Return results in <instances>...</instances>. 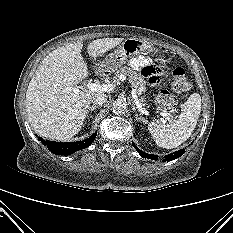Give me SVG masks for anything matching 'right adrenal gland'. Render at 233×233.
Instances as JSON below:
<instances>
[{
  "label": "right adrenal gland",
  "instance_id": "obj_1",
  "mask_svg": "<svg viewBox=\"0 0 233 233\" xmlns=\"http://www.w3.org/2000/svg\"><path fill=\"white\" fill-rule=\"evenodd\" d=\"M97 108H99V106H96V105H92V106H90L89 108H88V110H87V114L89 113V112H93L94 110H96Z\"/></svg>",
  "mask_w": 233,
  "mask_h": 233
}]
</instances>
